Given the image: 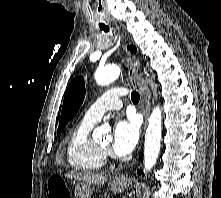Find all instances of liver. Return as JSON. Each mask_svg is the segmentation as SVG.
Wrapping results in <instances>:
<instances>
[{"label":"liver","instance_id":"liver-1","mask_svg":"<svg viewBox=\"0 0 221 198\" xmlns=\"http://www.w3.org/2000/svg\"><path fill=\"white\" fill-rule=\"evenodd\" d=\"M67 178L74 179L79 182H84L93 185H103L107 182V176L83 171H70L65 175Z\"/></svg>","mask_w":221,"mask_h":198}]
</instances>
